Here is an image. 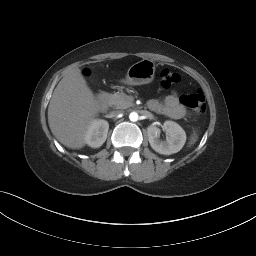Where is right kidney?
I'll return each instance as SVG.
<instances>
[{
	"instance_id": "obj_1",
	"label": "right kidney",
	"mask_w": 256,
	"mask_h": 256,
	"mask_svg": "<svg viewBox=\"0 0 256 256\" xmlns=\"http://www.w3.org/2000/svg\"><path fill=\"white\" fill-rule=\"evenodd\" d=\"M108 130L109 124L107 121L102 119L93 120L86 131V144L92 148L102 146V144L106 141Z\"/></svg>"
}]
</instances>
